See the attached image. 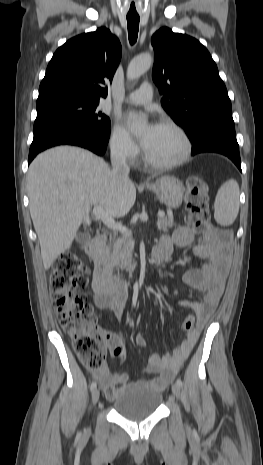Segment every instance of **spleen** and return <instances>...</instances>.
I'll list each match as a JSON object with an SVG mask.
<instances>
[{"instance_id": "3e777b00", "label": "spleen", "mask_w": 263, "mask_h": 465, "mask_svg": "<svg viewBox=\"0 0 263 465\" xmlns=\"http://www.w3.org/2000/svg\"><path fill=\"white\" fill-rule=\"evenodd\" d=\"M214 217L217 223L223 226L231 225L239 212V186L231 179L219 188L215 203Z\"/></svg>"}]
</instances>
